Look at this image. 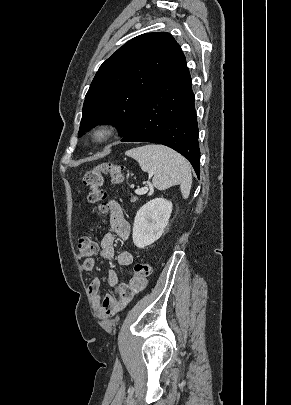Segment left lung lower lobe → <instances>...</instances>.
Here are the masks:
<instances>
[{
    "label": "left lung lower lobe",
    "instance_id": "1",
    "mask_svg": "<svg viewBox=\"0 0 291 405\" xmlns=\"http://www.w3.org/2000/svg\"><path fill=\"white\" fill-rule=\"evenodd\" d=\"M192 80L181 52L142 100L132 129L121 141L168 146L192 164L199 177L200 151Z\"/></svg>",
    "mask_w": 291,
    "mask_h": 405
}]
</instances>
